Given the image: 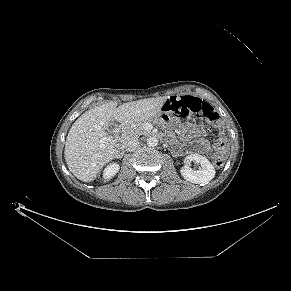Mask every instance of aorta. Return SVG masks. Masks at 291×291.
I'll use <instances>...</instances> for the list:
<instances>
[{
  "mask_svg": "<svg viewBox=\"0 0 291 291\" xmlns=\"http://www.w3.org/2000/svg\"><path fill=\"white\" fill-rule=\"evenodd\" d=\"M158 144V139L156 137H149L147 139V145L149 147H156Z\"/></svg>",
  "mask_w": 291,
  "mask_h": 291,
  "instance_id": "1",
  "label": "aorta"
}]
</instances>
